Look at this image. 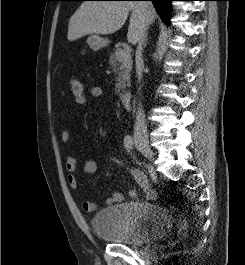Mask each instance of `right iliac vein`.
I'll return each mask as SVG.
<instances>
[{
	"label": "right iliac vein",
	"instance_id": "obj_1",
	"mask_svg": "<svg viewBox=\"0 0 245 265\" xmlns=\"http://www.w3.org/2000/svg\"><path fill=\"white\" fill-rule=\"evenodd\" d=\"M135 145L137 149L150 161L153 160V151L151 150L148 141L143 137L135 139Z\"/></svg>",
	"mask_w": 245,
	"mask_h": 265
}]
</instances>
